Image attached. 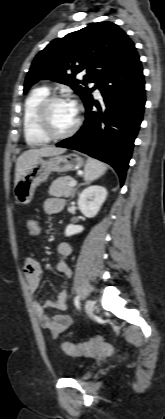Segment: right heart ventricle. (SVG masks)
Here are the masks:
<instances>
[{
    "label": "right heart ventricle",
    "instance_id": "1",
    "mask_svg": "<svg viewBox=\"0 0 165 419\" xmlns=\"http://www.w3.org/2000/svg\"><path fill=\"white\" fill-rule=\"evenodd\" d=\"M47 87H37L27 96L23 108V133L26 142L31 146H39L49 142L39 130L36 122V110L39 103L49 96Z\"/></svg>",
    "mask_w": 165,
    "mask_h": 419
}]
</instances>
